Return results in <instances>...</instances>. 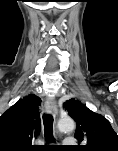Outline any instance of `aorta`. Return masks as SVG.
Listing matches in <instances>:
<instances>
[{"instance_id": "762f6f07", "label": "aorta", "mask_w": 118, "mask_h": 151, "mask_svg": "<svg viewBox=\"0 0 118 151\" xmlns=\"http://www.w3.org/2000/svg\"><path fill=\"white\" fill-rule=\"evenodd\" d=\"M58 128L61 132H72L75 129V123L70 117L61 118L58 121Z\"/></svg>"}]
</instances>
